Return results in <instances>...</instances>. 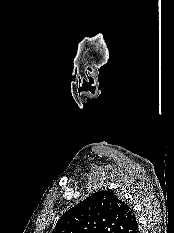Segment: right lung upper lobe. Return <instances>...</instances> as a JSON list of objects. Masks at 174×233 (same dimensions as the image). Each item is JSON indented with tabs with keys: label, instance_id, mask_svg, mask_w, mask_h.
<instances>
[{
	"label": "right lung upper lobe",
	"instance_id": "right-lung-upper-lobe-1",
	"mask_svg": "<svg viewBox=\"0 0 174 233\" xmlns=\"http://www.w3.org/2000/svg\"><path fill=\"white\" fill-rule=\"evenodd\" d=\"M52 233H139L129 205L101 190L66 211Z\"/></svg>",
	"mask_w": 174,
	"mask_h": 233
}]
</instances>
